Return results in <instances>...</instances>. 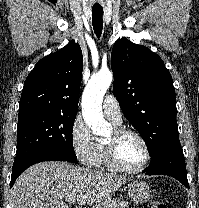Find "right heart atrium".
<instances>
[{
    "mask_svg": "<svg viewBox=\"0 0 199 208\" xmlns=\"http://www.w3.org/2000/svg\"><path fill=\"white\" fill-rule=\"evenodd\" d=\"M70 141L78 160L86 166H94L98 143L94 140L86 122L77 116L71 126Z\"/></svg>",
    "mask_w": 199,
    "mask_h": 208,
    "instance_id": "right-heart-atrium-1",
    "label": "right heart atrium"
}]
</instances>
